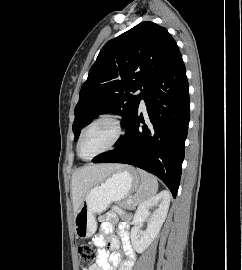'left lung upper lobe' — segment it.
I'll return each instance as SVG.
<instances>
[{"label":"left lung upper lobe","mask_w":242,"mask_h":270,"mask_svg":"<svg viewBox=\"0 0 242 270\" xmlns=\"http://www.w3.org/2000/svg\"><path fill=\"white\" fill-rule=\"evenodd\" d=\"M180 55L167 29L149 21L108 41L80 90L73 122L75 141L81 129L104 112L121 115L126 128L148 86ZM139 89L140 94H131Z\"/></svg>","instance_id":"1"}]
</instances>
